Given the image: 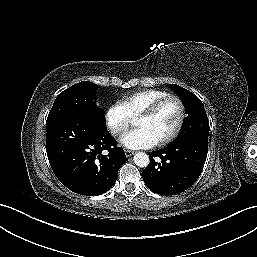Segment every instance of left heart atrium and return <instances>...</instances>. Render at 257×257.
<instances>
[{
  "mask_svg": "<svg viewBox=\"0 0 257 257\" xmlns=\"http://www.w3.org/2000/svg\"><path fill=\"white\" fill-rule=\"evenodd\" d=\"M121 143L130 149H146L155 146L158 141L146 129L137 128L125 134Z\"/></svg>",
  "mask_w": 257,
  "mask_h": 257,
  "instance_id": "1",
  "label": "left heart atrium"
}]
</instances>
